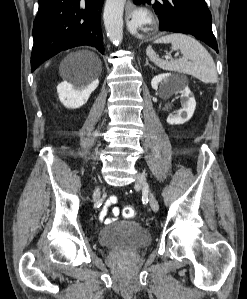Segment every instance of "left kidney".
I'll use <instances>...</instances> for the list:
<instances>
[{
	"label": "left kidney",
	"mask_w": 247,
	"mask_h": 299,
	"mask_svg": "<svg viewBox=\"0 0 247 299\" xmlns=\"http://www.w3.org/2000/svg\"><path fill=\"white\" fill-rule=\"evenodd\" d=\"M170 94H181V109L176 115L170 114L167 117V122L171 125H179L187 122L194 114L196 102L191 96V91L187 86H180L177 80L170 74H160L155 76L151 81L153 89L157 90L158 86Z\"/></svg>",
	"instance_id": "5707ae66"
}]
</instances>
